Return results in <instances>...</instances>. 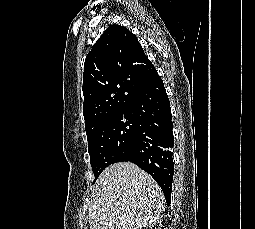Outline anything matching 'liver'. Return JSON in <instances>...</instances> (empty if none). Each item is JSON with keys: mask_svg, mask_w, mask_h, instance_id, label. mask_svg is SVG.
<instances>
[{"mask_svg": "<svg viewBox=\"0 0 255 229\" xmlns=\"http://www.w3.org/2000/svg\"><path fill=\"white\" fill-rule=\"evenodd\" d=\"M90 229H142L159 219L164 195L154 179L131 162L106 168L96 181Z\"/></svg>", "mask_w": 255, "mask_h": 229, "instance_id": "liver-1", "label": "liver"}]
</instances>
